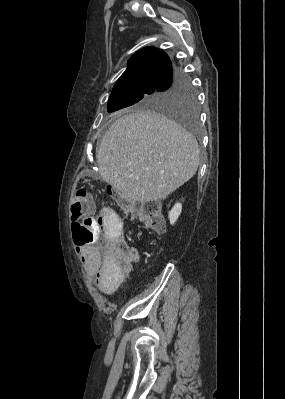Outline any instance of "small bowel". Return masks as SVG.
Masks as SVG:
<instances>
[{
    "instance_id": "obj_1",
    "label": "small bowel",
    "mask_w": 285,
    "mask_h": 399,
    "mask_svg": "<svg viewBox=\"0 0 285 399\" xmlns=\"http://www.w3.org/2000/svg\"><path fill=\"white\" fill-rule=\"evenodd\" d=\"M135 217V216H134ZM123 228L119 217L109 208H104L101 215L96 220L85 226L87 231H101L107 241L114 239ZM81 237H85L86 232L81 231ZM103 244H86L78 250L82 256L85 266L89 271L96 272V283L99 290L105 294H112L121 283L119 273L110 264V260L101 255ZM137 252V248H133ZM136 258V255H135Z\"/></svg>"
}]
</instances>
